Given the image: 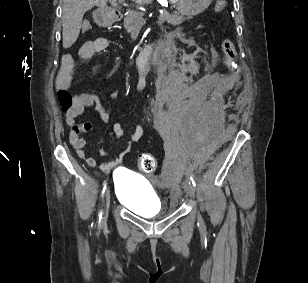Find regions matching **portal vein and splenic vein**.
<instances>
[{
    "instance_id": "18ae733b",
    "label": "portal vein and splenic vein",
    "mask_w": 308,
    "mask_h": 283,
    "mask_svg": "<svg viewBox=\"0 0 308 283\" xmlns=\"http://www.w3.org/2000/svg\"><path fill=\"white\" fill-rule=\"evenodd\" d=\"M111 1H116V0H111ZM124 0H119V3H123ZM161 14H163L164 12L163 11H160Z\"/></svg>"
}]
</instances>
